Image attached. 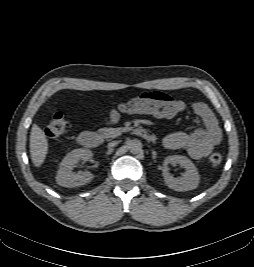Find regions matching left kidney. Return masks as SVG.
Returning a JSON list of instances; mask_svg holds the SVG:
<instances>
[{"label":"left kidney","mask_w":254,"mask_h":267,"mask_svg":"<svg viewBox=\"0 0 254 267\" xmlns=\"http://www.w3.org/2000/svg\"><path fill=\"white\" fill-rule=\"evenodd\" d=\"M168 164H180L185 168V173L181 178H174L168 172ZM163 176L166 185L175 191H189L196 189L199 185L200 175L196 166L186 156L172 155L164 161Z\"/></svg>","instance_id":"left-kidney-1"}]
</instances>
